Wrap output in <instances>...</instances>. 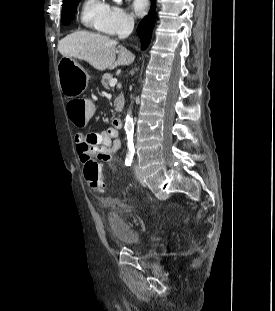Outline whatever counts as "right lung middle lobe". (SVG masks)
I'll return each mask as SVG.
<instances>
[{
	"mask_svg": "<svg viewBox=\"0 0 275 311\" xmlns=\"http://www.w3.org/2000/svg\"><path fill=\"white\" fill-rule=\"evenodd\" d=\"M81 0H64L62 5V19L64 25H68L76 12L77 4Z\"/></svg>",
	"mask_w": 275,
	"mask_h": 311,
	"instance_id": "obj_1",
	"label": "right lung middle lobe"
}]
</instances>
